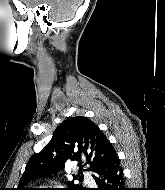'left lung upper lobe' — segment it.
I'll use <instances>...</instances> for the list:
<instances>
[{
    "mask_svg": "<svg viewBox=\"0 0 165 190\" xmlns=\"http://www.w3.org/2000/svg\"><path fill=\"white\" fill-rule=\"evenodd\" d=\"M114 154L109 140L91 120L83 116L71 117L57 127L48 145L31 157L17 190H28L23 186L35 178L60 171L67 161H77L80 173L82 162L84 166L89 165L87 170L95 172ZM73 179L82 181L83 175H73ZM66 190L84 189L70 182Z\"/></svg>",
    "mask_w": 165,
    "mask_h": 190,
    "instance_id": "left-lung-upper-lobe-1",
    "label": "left lung upper lobe"
}]
</instances>
